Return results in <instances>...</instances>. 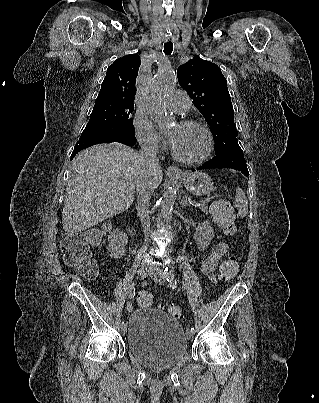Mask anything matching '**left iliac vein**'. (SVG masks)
Masks as SVG:
<instances>
[{"mask_svg": "<svg viewBox=\"0 0 319 403\" xmlns=\"http://www.w3.org/2000/svg\"><path fill=\"white\" fill-rule=\"evenodd\" d=\"M150 276L157 284L162 285L164 283L165 276L159 267L153 266L151 268ZM193 336H194V332H192V331L187 332L188 339H192Z\"/></svg>", "mask_w": 319, "mask_h": 403, "instance_id": "4c4485c4", "label": "left iliac vein"}]
</instances>
